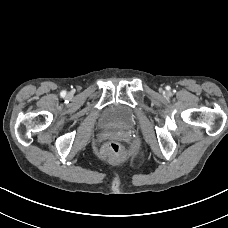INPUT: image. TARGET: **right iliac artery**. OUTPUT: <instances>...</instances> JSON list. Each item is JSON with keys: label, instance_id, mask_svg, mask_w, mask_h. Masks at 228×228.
<instances>
[{"label": "right iliac artery", "instance_id": "82829eb1", "mask_svg": "<svg viewBox=\"0 0 228 228\" xmlns=\"http://www.w3.org/2000/svg\"><path fill=\"white\" fill-rule=\"evenodd\" d=\"M66 95V91H62L61 92V96L63 97V96H65Z\"/></svg>", "mask_w": 228, "mask_h": 228}]
</instances>
